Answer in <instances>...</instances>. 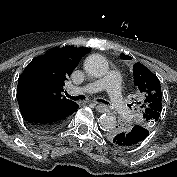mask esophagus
I'll return each mask as SVG.
<instances>
[{
    "instance_id": "34e87169",
    "label": "esophagus",
    "mask_w": 177,
    "mask_h": 177,
    "mask_svg": "<svg viewBox=\"0 0 177 177\" xmlns=\"http://www.w3.org/2000/svg\"><path fill=\"white\" fill-rule=\"evenodd\" d=\"M95 107L98 111H101V112L108 111V107L101 103H95Z\"/></svg>"
}]
</instances>
